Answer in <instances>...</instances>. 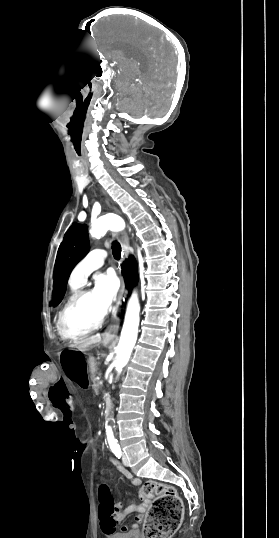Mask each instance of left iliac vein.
I'll list each match as a JSON object with an SVG mask.
<instances>
[{
	"mask_svg": "<svg viewBox=\"0 0 279 538\" xmlns=\"http://www.w3.org/2000/svg\"><path fill=\"white\" fill-rule=\"evenodd\" d=\"M122 461H123V464H124L125 466H128L129 461H128V459H127V456H126L124 453H123V455H122Z\"/></svg>",
	"mask_w": 279,
	"mask_h": 538,
	"instance_id": "left-iliac-vein-1",
	"label": "left iliac vein"
}]
</instances>
